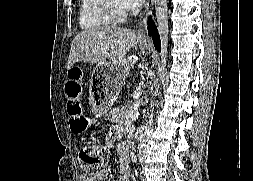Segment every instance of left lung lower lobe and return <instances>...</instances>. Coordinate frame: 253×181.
<instances>
[{"instance_id":"left-lung-lower-lobe-1","label":"left lung lower lobe","mask_w":253,"mask_h":181,"mask_svg":"<svg viewBox=\"0 0 253 181\" xmlns=\"http://www.w3.org/2000/svg\"><path fill=\"white\" fill-rule=\"evenodd\" d=\"M148 32L149 36H152L153 43L158 51H160V38L157 32V29L152 20L148 21Z\"/></svg>"}]
</instances>
